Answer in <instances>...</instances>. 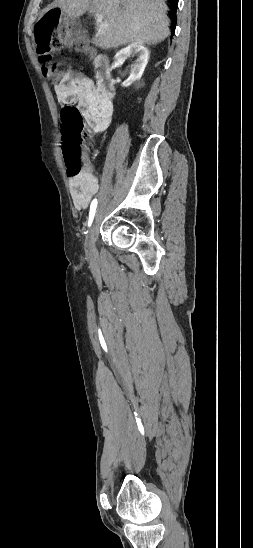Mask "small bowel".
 I'll return each mask as SVG.
<instances>
[{"mask_svg":"<svg viewBox=\"0 0 253 548\" xmlns=\"http://www.w3.org/2000/svg\"><path fill=\"white\" fill-rule=\"evenodd\" d=\"M54 91L61 104L77 105L91 134L101 133L108 127L113 114L112 101L83 73L68 71ZM69 187L74 207L77 210L86 209L100 187L99 178L88 158H85L79 175L69 176Z\"/></svg>","mask_w":253,"mask_h":548,"instance_id":"small-bowel-1","label":"small bowel"}]
</instances>
